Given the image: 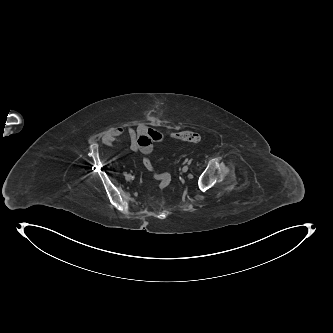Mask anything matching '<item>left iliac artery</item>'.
Listing matches in <instances>:
<instances>
[{
	"mask_svg": "<svg viewBox=\"0 0 333 333\" xmlns=\"http://www.w3.org/2000/svg\"><path fill=\"white\" fill-rule=\"evenodd\" d=\"M186 162H187L188 164H190V163H191V160H189V161H188V160H186Z\"/></svg>",
	"mask_w": 333,
	"mask_h": 333,
	"instance_id": "obj_1",
	"label": "left iliac artery"
}]
</instances>
